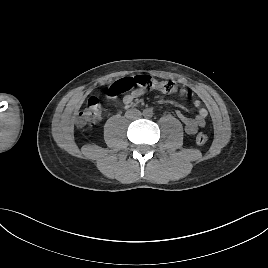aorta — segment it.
Listing matches in <instances>:
<instances>
[{
  "label": "aorta",
  "instance_id": "aorta-1",
  "mask_svg": "<svg viewBox=\"0 0 268 268\" xmlns=\"http://www.w3.org/2000/svg\"><path fill=\"white\" fill-rule=\"evenodd\" d=\"M143 114H144L145 117L150 118L153 115V111H152V109H145L143 111Z\"/></svg>",
  "mask_w": 268,
  "mask_h": 268
}]
</instances>
